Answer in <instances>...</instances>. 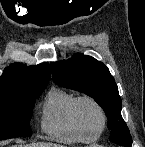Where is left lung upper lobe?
<instances>
[{"label":"left lung upper lobe","mask_w":145,"mask_h":147,"mask_svg":"<svg viewBox=\"0 0 145 147\" xmlns=\"http://www.w3.org/2000/svg\"><path fill=\"white\" fill-rule=\"evenodd\" d=\"M51 71L56 84L89 95L103 108L108 117L111 142L131 147L132 138L121 116L117 84L102 62L77 53L68 60L51 63Z\"/></svg>","instance_id":"left-lung-upper-lobe-1"}]
</instances>
